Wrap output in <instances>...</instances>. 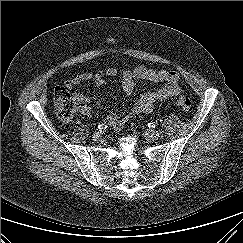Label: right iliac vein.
<instances>
[{
    "label": "right iliac vein",
    "mask_w": 243,
    "mask_h": 243,
    "mask_svg": "<svg viewBox=\"0 0 243 243\" xmlns=\"http://www.w3.org/2000/svg\"><path fill=\"white\" fill-rule=\"evenodd\" d=\"M100 137H101V134H100L99 132H95V133H93V135H92V139H93L94 141H98V140L100 139Z\"/></svg>",
    "instance_id": "63e3f726"
}]
</instances>
